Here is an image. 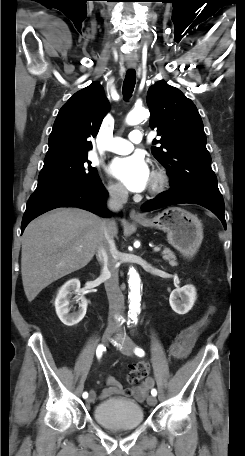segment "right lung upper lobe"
Instances as JSON below:
<instances>
[{
    "instance_id": "cb5924a9",
    "label": "right lung upper lobe",
    "mask_w": 245,
    "mask_h": 456,
    "mask_svg": "<svg viewBox=\"0 0 245 456\" xmlns=\"http://www.w3.org/2000/svg\"><path fill=\"white\" fill-rule=\"evenodd\" d=\"M109 110L103 87L93 82L75 93L60 109L49 137L44 166L87 155Z\"/></svg>"
}]
</instances>
